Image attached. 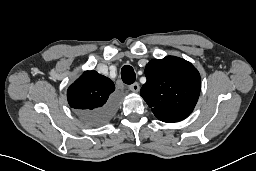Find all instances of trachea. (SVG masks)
Wrapping results in <instances>:
<instances>
[{
  "mask_svg": "<svg viewBox=\"0 0 256 171\" xmlns=\"http://www.w3.org/2000/svg\"><path fill=\"white\" fill-rule=\"evenodd\" d=\"M121 78L125 84H133L136 80V74L130 65H125L121 69Z\"/></svg>",
  "mask_w": 256,
  "mask_h": 171,
  "instance_id": "3493384b",
  "label": "trachea"
}]
</instances>
